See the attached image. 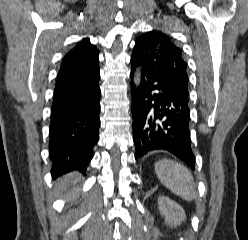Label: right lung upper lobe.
<instances>
[{
	"label": "right lung upper lobe",
	"mask_w": 248,
	"mask_h": 240,
	"mask_svg": "<svg viewBox=\"0 0 248 240\" xmlns=\"http://www.w3.org/2000/svg\"><path fill=\"white\" fill-rule=\"evenodd\" d=\"M98 50L89 39H83L63 58L56 86L77 80L99 69Z\"/></svg>",
	"instance_id": "obj_1"
}]
</instances>
